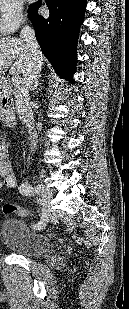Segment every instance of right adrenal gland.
I'll return each mask as SVG.
<instances>
[{"mask_svg": "<svg viewBox=\"0 0 129 309\" xmlns=\"http://www.w3.org/2000/svg\"><path fill=\"white\" fill-rule=\"evenodd\" d=\"M39 77H40V75H39ZM38 85H39V81L37 80V81L34 83V85L32 86V90H36L37 87H38Z\"/></svg>", "mask_w": 129, "mask_h": 309, "instance_id": "1", "label": "right adrenal gland"}]
</instances>
